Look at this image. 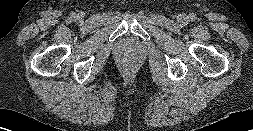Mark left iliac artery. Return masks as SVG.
I'll return each mask as SVG.
<instances>
[{"mask_svg": "<svg viewBox=\"0 0 253 131\" xmlns=\"http://www.w3.org/2000/svg\"><path fill=\"white\" fill-rule=\"evenodd\" d=\"M190 19H191L192 21H194V20L196 19L195 15H191V16H190Z\"/></svg>", "mask_w": 253, "mask_h": 131, "instance_id": "obj_1", "label": "left iliac artery"}]
</instances>
